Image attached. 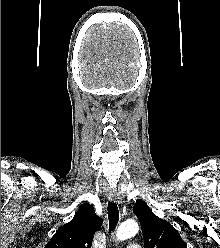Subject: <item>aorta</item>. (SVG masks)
<instances>
[{
  "label": "aorta",
  "mask_w": 220,
  "mask_h": 248,
  "mask_svg": "<svg viewBox=\"0 0 220 248\" xmlns=\"http://www.w3.org/2000/svg\"><path fill=\"white\" fill-rule=\"evenodd\" d=\"M138 231V224L133 220H127L119 226L116 233V238L120 241H123L135 236Z\"/></svg>",
  "instance_id": "obj_1"
}]
</instances>
